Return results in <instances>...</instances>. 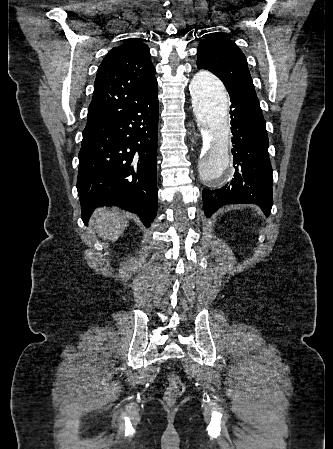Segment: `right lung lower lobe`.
<instances>
[{"label": "right lung lower lobe", "instance_id": "obj_1", "mask_svg": "<svg viewBox=\"0 0 333 449\" xmlns=\"http://www.w3.org/2000/svg\"><path fill=\"white\" fill-rule=\"evenodd\" d=\"M158 90L108 118L86 125L77 191L85 224L96 207L118 205L146 227L157 212Z\"/></svg>", "mask_w": 333, "mask_h": 449}]
</instances>
